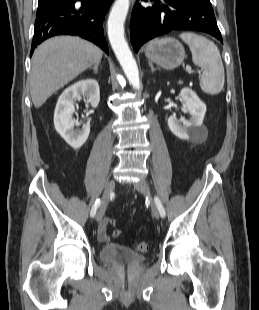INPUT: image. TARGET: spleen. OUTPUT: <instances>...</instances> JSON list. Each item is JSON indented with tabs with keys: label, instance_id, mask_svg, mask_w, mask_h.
<instances>
[{
	"label": "spleen",
	"instance_id": "1",
	"mask_svg": "<svg viewBox=\"0 0 259 310\" xmlns=\"http://www.w3.org/2000/svg\"><path fill=\"white\" fill-rule=\"evenodd\" d=\"M179 37L189 45L193 63L203 69L200 78L202 91L210 95L220 93L225 82V72L217 46L206 37L192 32L181 33Z\"/></svg>",
	"mask_w": 259,
	"mask_h": 310
}]
</instances>
